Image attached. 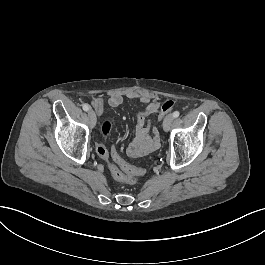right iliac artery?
<instances>
[{"label":"right iliac artery","instance_id":"obj_1","mask_svg":"<svg viewBox=\"0 0 265 265\" xmlns=\"http://www.w3.org/2000/svg\"><path fill=\"white\" fill-rule=\"evenodd\" d=\"M82 108L84 111H89L90 106L88 104H84Z\"/></svg>","mask_w":265,"mask_h":265}]
</instances>
